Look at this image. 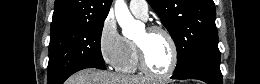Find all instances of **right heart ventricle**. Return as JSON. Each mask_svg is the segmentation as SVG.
I'll use <instances>...</instances> for the list:
<instances>
[{
  "label": "right heart ventricle",
  "mask_w": 260,
  "mask_h": 84,
  "mask_svg": "<svg viewBox=\"0 0 260 84\" xmlns=\"http://www.w3.org/2000/svg\"><path fill=\"white\" fill-rule=\"evenodd\" d=\"M116 70L126 74L140 71L134 41L124 38V52Z\"/></svg>",
  "instance_id": "right-heart-ventricle-1"
}]
</instances>
